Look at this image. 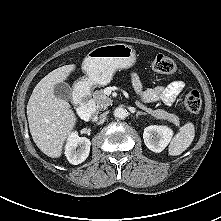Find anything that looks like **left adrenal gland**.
Here are the masks:
<instances>
[{
    "label": "left adrenal gland",
    "mask_w": 221,
    "mask_h": 221,
    "mask_svg": "<svg viewBox=\"0 0 221 221\" xmlns=\"http://www.w3.org/2000/svg\"><path fill=\"white\" fill-rule=\"evenodd\" d=\"M139 115H146V113L140 111L136 112V117H138Z\"/></svg>",
    "instance_id": "1"
}]
</instances>
